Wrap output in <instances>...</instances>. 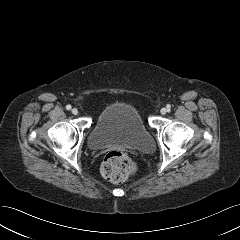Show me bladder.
<instances>
[{"label": "bladder", "instance_id": "31cf9c89", "mask_svg": "<svg viewBox=\"0 0 240 240\" xmlns=\"http://www.w3.org/2000/svg\"><path fill=\"white\" fill-rule=\"evenodd\" d=\"M88 145L93 150L117 145L148 152L153 149L154 142L133 105L114 103L98 115L88 137Z\"/></svg>", "mask_w": 240, "mask_h": 240}]
</instances>
